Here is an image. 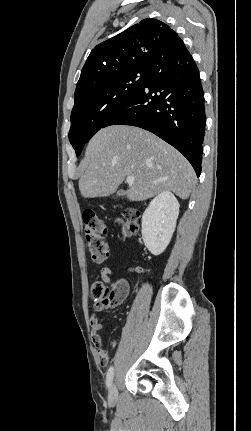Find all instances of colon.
<instances>
[{
  "mask_svg": "<svg viewBox=\"0 0 251 431\" xmlns=\"http://www.w3.org/2000/svg\"><path fill=\"white\" fill-rule=\"evenodd\" d=\"M140 212L135 208H128L123 214V232L125 235H132L138 230V219ZM107 227L105 222L94 212L88 211L83 214V235L91 259L98 264L104 263L108 256V246L105 240ZM141 269H137L140 271ZM127 294L126 283L120 281L111 288L106 287L102 282H95L91 288V295L97 305L103 307H115L122 303ZM116 342L112 345V350H117Z\"/></svg>",
  "mask_w": 251,
  "mask_h": 431,
  "instance_id": "colon-1",
  "label": "colon"
}]
</instances>
